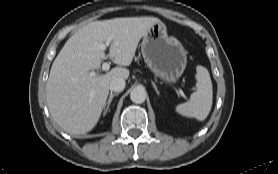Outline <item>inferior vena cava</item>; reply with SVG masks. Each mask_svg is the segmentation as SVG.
I'll list each match as a JSON object with an SVG mask.
<instances>
[{"label": "inferior vena cava", "instance_id": "602c4592", "mask_svg": "<svg viewBox=\"0 0 278 174\" xmlns=\"http://www.w3.org/2000/svg\"><path fill=\"white\" fill-rule=\"evenodd\" d=\"M125 88V80L121 77L115 78L110 83V89L115 92H121Z\"/></svg>", "mask_w": 278, "mask_h": 174}]
</instances>
